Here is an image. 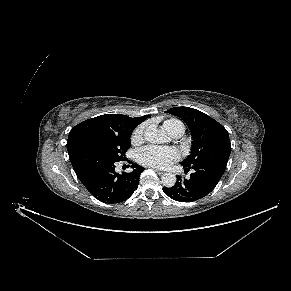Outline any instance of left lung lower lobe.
I'll use <instances>...</instances> for the list:
<instances>
[{
  "label": "left lung lower lobe",
  "instance_id": "left-lung-lower-lobe-1",
  "mask_svg": "<svg viewBox=\"0 0 291 291\" xmlns=\"http://www.w3.org/2000/svg\"><path fill=\"white\" fill-rule=\"evenodd\" d=\"M227 162L206 161L192 166H184L186 170H193L189 179L182 180L177 176L176 184L170 188H163L166 195L176 201L193 202L207 196L221 179Z\"/></svg>",
  "mask_w": 291,
  "mask_h": 291
}]
</instances>
